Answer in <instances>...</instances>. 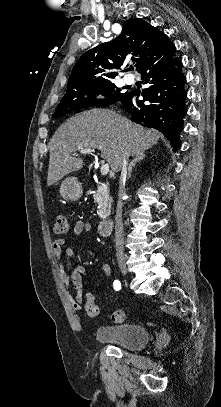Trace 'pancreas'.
Masks as SVG:
<instances>
[{
    "instance_id": "obj_1",
    "label": "pancreas",
    "mask_w": 221,
    "mask_h": 407,
    "mask_svg": "<svg viewBox=\"0 0 221 407\" xmlns=\"http://www.w3.org/2000/svg\"><path fill=\"white\" fill-rule=\"evenodd\" d=\"M93 198L98 205V216L101 219L106 218L110 214L112 201L107 187L100 183L98 188L93 192Z\"/></svg>"
}]
</instances>
